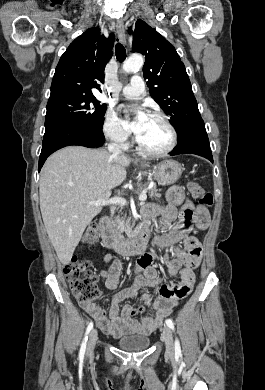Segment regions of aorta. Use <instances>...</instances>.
Here are the masks:
<instances>
[{
	"instance_id": "obj_1",
	"label": "aorta",
	"mask_w": 265,
	"mask_h": 390,
	"mask_svg": "<svg viewBox=\"0 0 265 390\" xmlns=\"http://www.w3.org/2000/svg\"><path fill=\"white\" fill-rule=\"evenodd\" d=\"M144 64L143 57L140 54H133L124 61L122 69L126 73L138 71Z\"/></svg>"
}]
</instances>
